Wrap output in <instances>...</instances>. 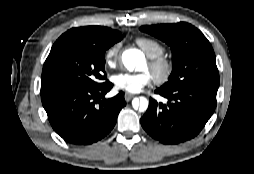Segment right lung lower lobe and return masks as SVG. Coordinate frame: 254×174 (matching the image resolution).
<instances>
[{
    "mask_svg": "<svg viewBox=\"0 0 254 174\" xmlns=\"http://www.w3.org/2000/svg\"><path fill=\"white\" fill-rule=\"evenodd\" d=\"M113 84L71 89L41 96L52 128L66 142L89 145L104 138L115 126L120 110L126 105L124 93L106 99Z\"/></svg>",
    "mask_w": 254,
    "mask_h": 174,
    "instance_id": "obj_1",
    "label": "right lung lower lobe"
}]
</instances>
